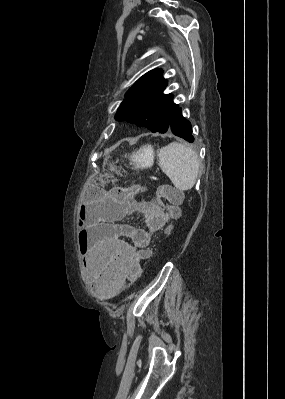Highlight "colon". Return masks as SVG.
<instances>
[{
  "mask_svg": "<svg viewBox=\"0 0 285 399\" xmlns=\"http://www.w3.org/2000/svg\"><path fill=\"white\" fill-rule=\"evenodd\" d=\"M107 179L104 176L93 177L90 180V186L94 189H100L102 180ZM146 188L143 185H137L131 188L114 186L108 190V195L112 199H127L135 196L141 192H144ZM156 196L163 199L164 205L171 212L172 216L175 217L177 214L176 205L181 200V192L171 185H160L157 186ZM144 253H149V250H144ZM143 272L142 257H138L133 261L130 273L132 277H140Z\"/></svg>",
  "mask_w": 285,
  "mask_h": 399,
  "instance_id": "colon-1",
  "label": "colon"
}]
</instances>
